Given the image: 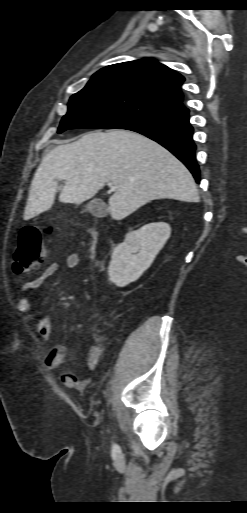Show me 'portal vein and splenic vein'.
Segmentation results:
<instances>
[{"instance_id":"portal-vein-and-splenic-vein-1","label":"portal vein and splenic vein","mask_w":247,"mask_h":513,"mask_svg":"<svg viewBox=\"0 0 247 513\" xmlns=\"http://www.w3.org/2000/svg\"><path fill=\"white\" fill-rule=\"evenodd\" d=\"M108 186L110 187L111 191L116 190V187L112 183H108Z\"/></svg>"}]
</instances>
